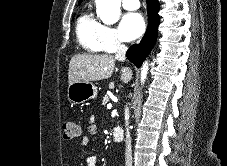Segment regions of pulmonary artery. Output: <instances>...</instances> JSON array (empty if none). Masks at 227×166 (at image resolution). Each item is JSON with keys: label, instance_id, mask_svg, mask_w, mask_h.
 <instances>
[{"label": "pulmonary artery", "instance_id": "1", "mask_svg": "<svg viewBox=\"0 0 227 166\" xmlns=\"http://www.w3.org/2000/svg\"><path fill=\"white\" fill-rule=\"evenodd\" d=\"M122 5L127 10H137L140 7L139 0H122Z\"/></svg>", "mask_w": 227, "mask_h": 166}]
</instances>
